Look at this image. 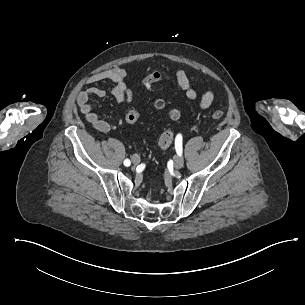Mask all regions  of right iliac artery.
<instances>
[{"label":"right iliac artery","instance_id":"right-iliac-artery-1","mask_svg":"<svg viewBox=\"0 0 305 305\" xmlns=\"http://www.w3.org/2000/svg\"><path fill=\"white\" fill-rule=\"evenodd\" d=\"M131 162L129 159L124 160V165L125 166H130Z\"/></svg>","mask_w":305,"mask_h":305}]
</instances>
